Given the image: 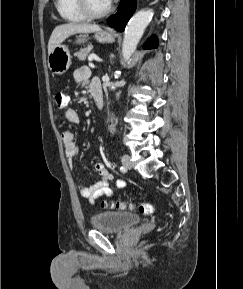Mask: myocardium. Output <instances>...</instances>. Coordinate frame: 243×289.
Here are the masks:
<instances>
[{"instance_id":"f54148a6","label":"myocardium","mask_w":243,"mask_h":289,"mask_svg":"<svg viewBox=\"0 0 243 289\" xmlns=\"http://www.w3.org/2000/svg\"><path fill=\"white\" fill-rule=\"evenodd\" d=\"M76 1H77V5H78V8H79V10L81 11V13H82L86 18H89V19H98V18L105 17V16L108 15V14L111 12V10H112V6H111L110 3H109V5L107 6V8H105L104 10L99 11V12H96V11H93V10L90 8L89 1H88V0H76Z\"/></svg>"}]
</instances>
